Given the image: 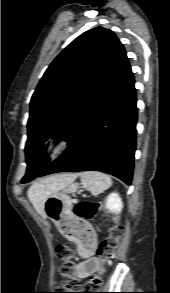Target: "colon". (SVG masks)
Listing matches in <instances>:
<instances>
[{
	"label": "colon",
	"instance_id": "5ec220e1",
	"mask_svg": "<svg viewBox=\"0 0 170 293\" xmlns=\"http://www.w3.org/2000/svg\"><path fill=\"white\" fill-rule=\"evenodd\" d=\"M100 204L96 201L84 200L74 205L73 213L80 220L68 219L66 221L57 222L58 228L65 236H82L85 230V223L92 220L98 210ZM124 235V228L117 224L109 230V234L105 240L97 247L96 253L101 264H104L117 249L120 239ZM59 259L62 261L60 268L61 274L66 278L64 282L53 293H93V289L98 287L102 280L103 267L97 269L95 275L86 284L81 287L79 281L74 276L75 266L72 261V250L67 246H59L57 248ZM83 291V292H78Z\"/></svg>",
	"mask_w": 170,
	"mask_h": 293
}]
</instances>
